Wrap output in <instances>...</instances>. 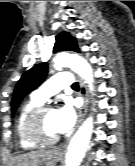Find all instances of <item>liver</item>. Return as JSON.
<instances>
[{"label":"liver","instance_id":"6515ba94","mask_svg":"<svg viewBox=\"0 0 135 166\" xmlns=\"http://www.w3.org/2000/svg\"><path fill=\"white\" fill-rule=\"evenodd\" d=\"M50 154V150L44 149L31 151L29 153L13 158L11 164L15 166H33L39 161H45L46 164H50L51 162L48 161L50 159Z\"/></svg>","mask_w":135,"mask_h":166}]
</instances>
